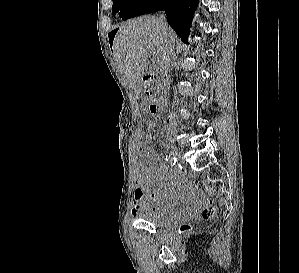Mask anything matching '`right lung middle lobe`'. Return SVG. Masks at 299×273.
I'll use <instances>...</instances> for the list:
<instances>
[{"label": "right lung middle lobe", "instance_id": "1", "mask_svg": "<svg viewBox=\"0 0 299 273\" xmlns=\"http://www.w3.org/2000/svg\"><path fill=\"white\" fill-rule=\"evenodd\" d=\"M136 0H113L112 13L122 17Z\"/></svg>", "mask_w": 299, "mask_h": 273}]
</instances>
